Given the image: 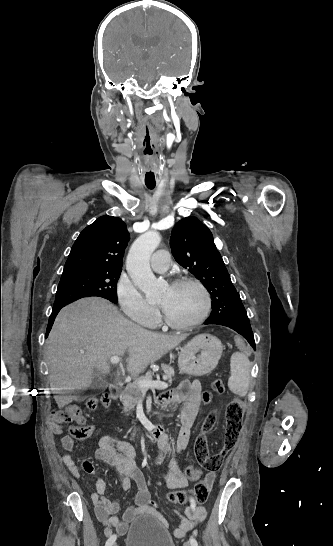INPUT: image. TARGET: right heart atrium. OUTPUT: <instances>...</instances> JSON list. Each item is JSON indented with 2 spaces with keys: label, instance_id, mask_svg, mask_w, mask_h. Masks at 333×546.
<instances>
[{
  "label": "right heart atrium",
  "instance_id": "d8ad5b80",
  "mask_svg": "<svg viewBox=\"0 0 333 546\" xmlns=\"http://www.w3.org/2000/svg\"><path fill=\"white\" fill-rule=\"evenodd\" d=\"M116 296L123 313L132 321L151 326L158 318V311L150 305L136 286L125 276L116 285Z\"/></svg>",
  "mask_w": 333,
  "mask_h": 546
}]
</instances>
